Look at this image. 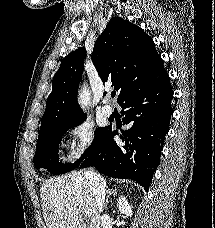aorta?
Wrapping results in <instances>:
<instances>
[{"mask_svg": "<svg viewBox=\"0 0 215 228\" xmlns=\"http://www.w3.org/2000/svg\"><path fill=\"white\" fill-rule=\"evenodd\" d=\"M78 100L82 108H86V106H88V92H86V90H81Z\"/></svg>", "mask_w": 215, "mask_h": 228, "instance_id": "obj_1", "label": "aorta"}]
</instances>
